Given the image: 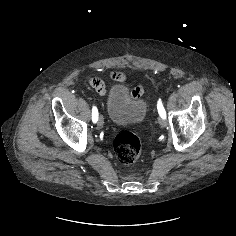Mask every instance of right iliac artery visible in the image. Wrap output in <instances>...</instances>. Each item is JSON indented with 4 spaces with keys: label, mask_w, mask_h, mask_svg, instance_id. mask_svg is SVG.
I'll return each instance as SVG.
<instances>
[{
    "label": "right iliac artery",
    "mask_w": 236,
    "mask_h": 236,
    "mask_svg": "<svg viewBox=\"0 0 236 236\" xmlns=\"http://www.w3.org/2000/svg\"><path fill=\"white\" fill-rule=\"evenodd\" d=\"M92 121L96 123L98 121V110L95 106L92 108Z\"/></svg>",
    "instance_id": "obj_1"
}]
</instances>
